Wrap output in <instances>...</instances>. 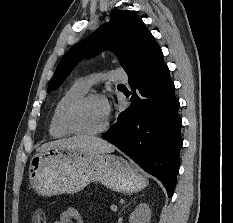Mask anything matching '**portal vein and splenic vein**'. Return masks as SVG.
Wrapping results in <instances>:
<instances>
[{
  "label": "portal vein and splenic vein",
  "mask_w": 233,
  "mask_h": 223,
  "mask_svg": "<svg viewBox=\"0 0 233 223\" xmlns=\"http://www.w3.org/2000/svg\"><path fill=\"white\" fill-rule=\"evenodd\" d=\"M110 209H112V211H117V205H110Z\"/></svg>",
  "instance_id": "1"
}]
</instances>
